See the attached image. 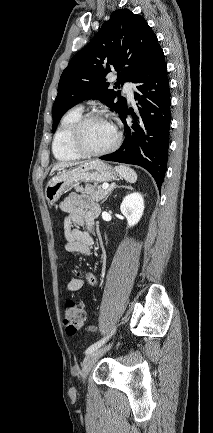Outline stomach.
Segmentation results:
<instances>
[{"label":"stomach","mask_w":213,"mask_h":433,"mask_svg":"<svg viewBox=\"0 0 213 433\" xmlns=\"http://www.w3.org/2000/svg\"><path fill=\"white\" fill-rule=\"evenodd\" d=\"M117 176L116 171L103 161H89L73 169L64 170L50 179L45 188V198L49 204H54L80 182H108L115 180Z\"/></svg>","instance_id":"1"}]
</instances>
